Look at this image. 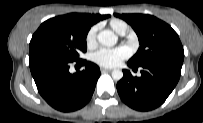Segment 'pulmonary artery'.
<instances>
[{"label": "pulmonary artery", "mask_w": 203, "mask_h": 123, "mask_svg": "<svg viewBox=\"0 0 203 123\" xmlns=\"http://www.w3.org/2000/svg\"><path fill=\"white\" fill-rule=\"evenodd\" d=\"M127 30H128L127 26H124V27L118 32V34L121 35V36H123V35H125V34L127 33Z\"/></svg>", "instance_id": "pulmonary-artery-1"}]
</instances>
